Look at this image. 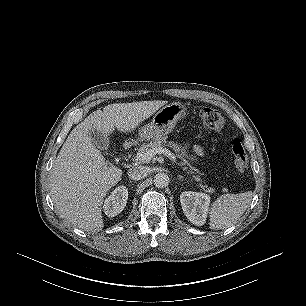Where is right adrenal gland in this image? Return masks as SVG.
I'll list each match as a JSON object with an SVG mask.
<instances>
[{"instance_id":"obj_1","label":"right adrenal gland","mask_w":306,"mask_h":306,"mask_svg":"<svg viewBox=\"0 0 306 306\" xmlns=\"http://www.w3.org/2000/svg\"><path fill=\"white\" fill-rule=\"evenodd\" d=\"M129 183L131 184V183H133V181H129Z\"/></svg>"}]
</instances>
